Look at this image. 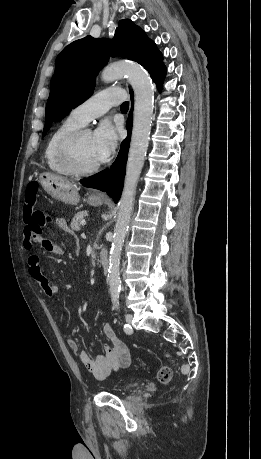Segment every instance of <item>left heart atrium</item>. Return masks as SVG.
<instances>
[{
    "label": "left heart atrium",
    "mask_w": 261,
    "mask_h": 459,
    "mask_svg": "<svg viewBox=\"0 0 261 459\" xmlns=\"http://www.w3.org/2000/svg\"><path fill=\"white\" fill-rule=\"evenodd\" d=\"M93 141L98 162H106L117 146L118 130L111 122L103 121L93 133Z\"/></svg>",
    "instance_id": "39dd6f15"
}]
</instances>
